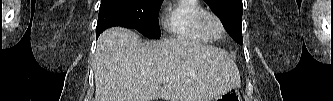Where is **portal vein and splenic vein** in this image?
<instances>
[{
	"instance_id": "18ae733b",
	"label": "portal vein and splenic vein",
	"mask_w": 333,
	"mask_h": 101,
	"mask_svg": "<svg viewBox=\"0 0 333 101\" xmlns=\"http://www.w3.org/2000/svg\"><path fill=\"white\" fill-rule=\"evenodd\" d=\"M168 81H169V79L167 78L165 82L167 83Z\"/></svg>"
}]
</instances>
